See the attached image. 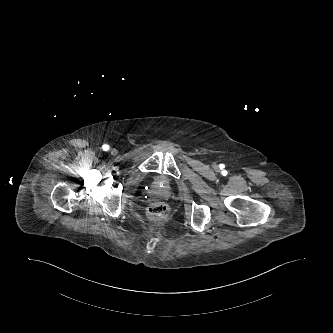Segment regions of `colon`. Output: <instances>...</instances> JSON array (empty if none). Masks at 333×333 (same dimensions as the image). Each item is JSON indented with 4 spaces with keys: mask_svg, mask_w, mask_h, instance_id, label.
Here are the masks:
<instances>
[{
    "mask_svg": "<svg viewBox=\"0 0 333 333\" xmlns=\"http://www.w3.org/2000/svg\"><path fill=\"white\" fill-rule=\"evenodd\" d=\"M167 206L163 203H156L149 208V215L153 219H161L167 214Z\"/></svg>",
    "mask_w": 333,
    "mask_h": 333,
    "instance_id": "1",
    "label": "colon"
}]
</instances>
